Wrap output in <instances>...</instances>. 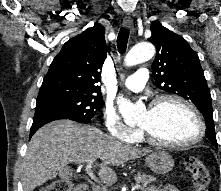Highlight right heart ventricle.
<instances>
[{
	"label": "right heart ventricle",
	"instance_id": "obj_1",
	"mask_svg": "<svg viewBox=\"0 0 221 191\" xmlns=\"http://www.w3.org/2000/svg\"><path fill=\"white\" fill-rule=\"evenodd\" d=\"M141 141H142V138L139 137L136 142H141Z\"/></svg>",
	"mask_w": 221,
	"mask_h": 191
}]
</instances>
